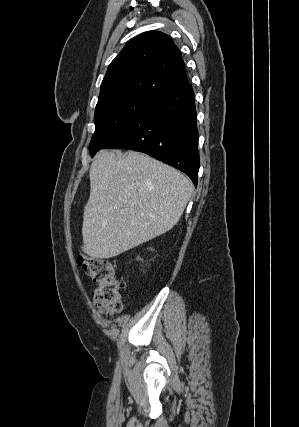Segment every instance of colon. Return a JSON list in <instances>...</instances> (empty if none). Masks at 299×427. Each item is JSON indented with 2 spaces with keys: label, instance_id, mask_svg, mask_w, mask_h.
Masks as SVG:
<instances>
[{
  "label": "colon",
  "instance_id": "5ec220e1",
  "mask_svg": "<svg viewBox=\"0 0 299 427\" xmlns=\"http://www.w3.org/2000/svg\"><path fill=\"white\" fill-rule=\"evenodd\" d=\"M76 260L96 285L94 294L96 309L105 315L120 312L123 308L121 295L123 284L115 277L110 261L84 253H79Z\"/></svg>",
  "mask_w": 299,
  "mask_h": 427
}]
</instances>
